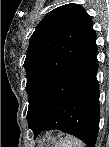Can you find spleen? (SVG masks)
I'll list each match as a JSON object with an SVG mask.
<instances>
[{
	"label": "spleen",
	"instance_id": "1",
	"mask_svg": "<svg viewBox=\"0 0 109 147\" xmlns=\"http://www.w3.org/2000/svg\"><path fill=\"white\" fill-rule=\"evenodd\" d=\"M61 147H85V144L73 136L62 134Z\"/></svg>",
	"mask_w": 109,
	"mask_h": 147
}]
</instances>
